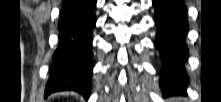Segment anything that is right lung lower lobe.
Listing matches in <instances>:
<instances>
[{
	"mask_svg": "<svg viewBox=\"0 0 221 102\" xmlns=\"http://www.w3.org/2000/svg\"><path fill=\"white\" fill-rule=\"evenodd\" d=\"M95 0H65L58 21L59 41L52 57L45 96L73 90L88 99L92 75Z\"/></svg>",
	"mask_w": 221,
	"mask_h": 102,
	"instance_id": "obj_1",
	"label": "right lung lower lobe"
}]
</instances>
